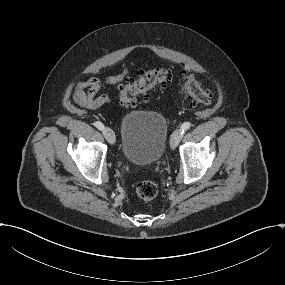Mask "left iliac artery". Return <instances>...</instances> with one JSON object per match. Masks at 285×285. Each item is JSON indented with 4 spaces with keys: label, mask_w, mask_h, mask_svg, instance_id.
Segmentation results:
<instances>
[{
    "label": "left iliac artery",
    "mask_w": 285,
    "mask_h": 285,
    "mask_svg": "<svg viewBox=\"0 0 285 285\" xmlns=\"http://www.w3.org/2000/svg\"><path fill=\"white\" fill-rule=\"evenodd\" d=\"M190 127H191L190 122L183 123L181 126V131H182L181 133L184 134V132L187 131Z\"/></svg>",
    "instance_id": "obj_1"
}]
</instances>
